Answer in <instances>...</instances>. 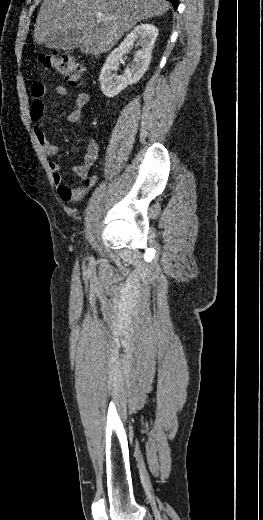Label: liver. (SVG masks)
Listing matches in <instances>:
<instances>
[{
  "instance_id": "obj_1",
  "label": "liver",
  "mask_w": 263,
  "mask_h": 520,
  "mask_svg": "<svg viewBox=\"0 0 263 520\" xmlns=\"http://www.w3.org/2000/svg\"><path fill=\"white\" fill-rule=\"evenodd\" d=\"M169 8L166 0H43L34 39L47 46L56 31L69 34L78 29L82 33L76 41L80 51L97 55L109 51L140 21L162 16ZM97 12L115 19L96 21Z\"/></svg>"
}]
</instances>
